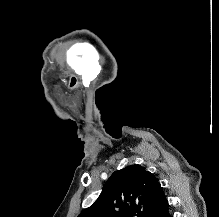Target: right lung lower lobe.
<instances>
[{"label": "right lung lower lobe", "instance_id": "obj_1", "mask_svg": "<svg viewBox=\"0 0 219 217\" xmlns=\"http://www.w3.org/2000/svg\"><path fill=\"white\" fill-rule=\"evenodd\" d=\"M160 217H172L168 209Z\"/></svg>", "mask_w": 219, "mask_h": 217}]
</instances>
